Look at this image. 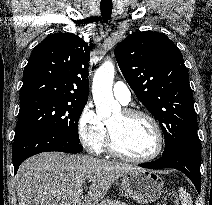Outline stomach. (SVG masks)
Returning a JSON list of instances; mask_svg holds the SVG:
<instances>
[{"instance_id": "stomach-1", "label": "stomach", "mask_w": 212, "mask_h": 205, "mask_svg": "<svg viewBox=\"0 0 212 205\" xmlns=\"http://www.w3.org/2000/svg\"><path fill=\"white\" fill-rule=\"evenodd\" d=\"M121 188L127 198L139 204L158 200L163 192L164 181L153 171L137 168L121 177Z\"/></svg>"}]
</instances>
